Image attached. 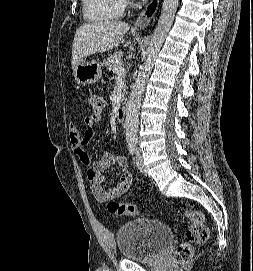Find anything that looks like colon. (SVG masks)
I'll return each mask as SVG.
<instances>
[{
  "label": "colon",
  "instance_id": "1",
  "mask_svg": "<svg viewBox=\"0 0 253 271\" xmlns=\"http://www.w3.org/2000/svg\"><path fill=\"white\" fill-rule=\"evenodd\" d=\"M88 102L95 114L100 113L105 105L104 98L98 93H90ZM108 210L115 215L136 216L139 213L136 205L115 201L108 202ZM179 219L188 221L189 227L185 232V241L177 246L174 257L178 262H186L192 256L193 245L203 244L208 240L209 228L198 210H186L179 215Z\"/></svg>",
  "mask_w": 253,
  "mask_h": 271
}]
</instances>
